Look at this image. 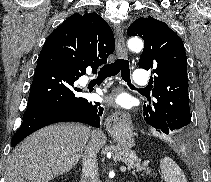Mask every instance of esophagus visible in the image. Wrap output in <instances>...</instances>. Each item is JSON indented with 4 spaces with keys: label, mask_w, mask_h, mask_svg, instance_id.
Returning <instances> with one entry per match:
<instances>
[{
    "label": "esophagus",
    "mask_w": 211,
    "mask_h": 182,
    "mask_svg": "<svg viewBox=\"0 0 211 182\" xmlns=\"http://www.w3.org/2000/svg\"><path fill=\"white\" fill-rule=\"evenodd\" d=\"M114 34L116 40V51L118 56L126 57L127 50L125 46L123 28L120 25H114ZM123 116L124 114L122 112L114 113L109 121V124L111 125L119 123L122 120Z\"/></svg>",
    "instance_id": "34e87169"
}]
</instances>
